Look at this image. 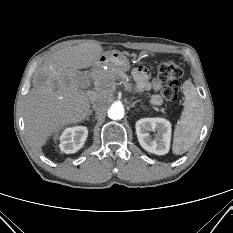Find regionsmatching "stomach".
Segmentation results:
<instances>
[{"label": "stomach", "instance_id": "obj_1", "mask_svg": "<svg viewBox=\"0 0 233 233\" xmlns=\"http://www.w3.org/2000/svg\"><path fill=\"white\" fill-rule=\"evenodd\" d=\"M99 61L101 64L108 65L109 67L119 69L121 71H128L130 63L127 56L120 51L113 50L103 53Z\"/></svg>", "mask_w": 233, "mask_h": 233}]
</instances>
